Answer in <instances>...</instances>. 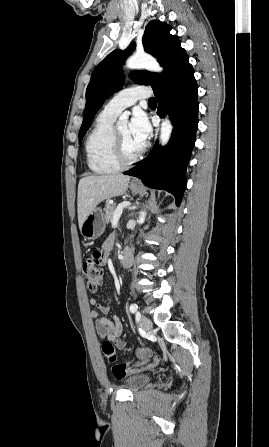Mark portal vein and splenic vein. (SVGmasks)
Wrapping results in <instances>:
<instances>
[{"instance_id": "obj_1", "label": "portal vein and splenic vein", "mask_w": 269, "mask_h": 447, "mask_svg": "<svg viewBox=\"0 0 269 447\" xmlns=\"http://www.w3.org/2000/svg\"><path fill=\"white\" fill-rule=\"evenodd\" d=\"M128 206H129V202H125V201H122L119 204H117V206H116L117 210H115V212L113 214L112 227H116V225H118L120 223V216L122 214V211L127 209Z\"/></svg>"}]
</instances>
